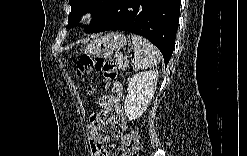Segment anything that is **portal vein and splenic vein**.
<instances>
[{"mask_svg":"<svg viewBox=\"0 0 247 156\" xmlns=\"http://www.w3.org/2000/svg\"><path fill=\"white\" fill-rule=\"evenodd\" d=\"M128 65H129V61H126V62L124 63V66L127 67Z\"/></svg>","mask_w":247,"mask_h":156,"instance_id":"obj_1","label":"portal vein and splenic vein"}]
</instances>
